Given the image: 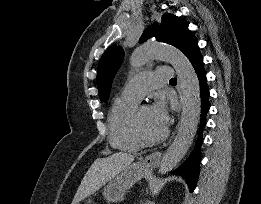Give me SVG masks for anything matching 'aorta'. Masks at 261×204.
I'll list each match as a JSON object with an SVG mask.
<instances>
[{
	"label": "aorta",
	"mask_w": 261,
	"mask_h": 204,
	"mask_svg": "<svg viewBox=\"0 0 261 204\" xmlns=\"http://www.w3.org/2000/svg\"><path fill=\"white\" fill-rule=\"evenodd\" d=\"M155 58L164 59L174 67L183 101L182 121L177 136L159 164V173L166 174L183 159L196 135L201 113L200 85L189 59L179 49L169 45L146 43L133 51L130 63L138 68Z\"/></svg>",
	"instance_id": "1"
}]
</instances>
